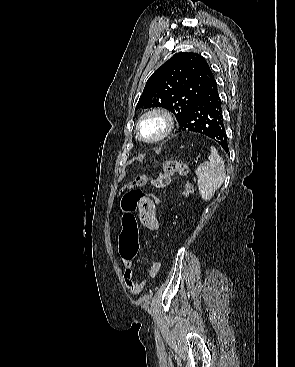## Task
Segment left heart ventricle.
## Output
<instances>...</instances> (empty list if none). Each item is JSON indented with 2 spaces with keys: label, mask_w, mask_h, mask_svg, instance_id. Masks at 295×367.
I'll return each mask as SVG.
<instances>
[{
  "label": "left heart ventricle",
  "mask_w": 295,
  "mask_h": 367,
  "mask_svg": "<svg viewBox=\"0 0 295 367\" xmlns=\"http://www.w3.org/2000/svg\"><path fill=\"white\" fill-rule=\"evenodd\" d=\"M163 128V123L158 118H152L141 125V133L144 137L152 138L158 135Z\"/></svg>",
  "instance_id": "b2bd125f"
}]
</instances>
